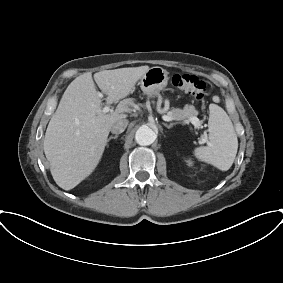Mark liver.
Masks as SVG:
<instances>
[{
  "mask_svg": "<svg viewBox=\"0 0 283 283\" xmlns=\"http://www.w3.org/2000/svg\"><path fill=\"white\" fill-rule=\"evenodd\" d=\"M149 66L104 70L94 80L111 104L126 98ZM132 99H124L116 110L103 112L102 100L90 72L74 79L65 90L51 117L43 142L44 152L56 184L64 190L76 187L97 167L114 123L125 119Z\"/></svg>",
  "mask_w": 283,
  "mask_h": 283,
  "instance_id": "1",
  "label": "liver"
}]
</instances>
